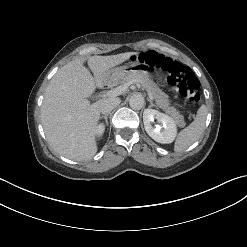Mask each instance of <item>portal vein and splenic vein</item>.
<instances>
[{"label":"portal vein and splenic vein","mask_w":247,"mask_h":247,"mask_svg":"<svg viewBox=\"0 0 247 247\" xmlns=\"http://www.w3.org/2000/svg\"><path fill=\"white\" fill-rule=\"evenodd\" d=\"M130 84H132V82H127V83H125V84L122 85V86L116 87V88H114L113 90L108 91V92L105 94V96H106V97H116V96H118V95H121V94H123V93L127 90V88L129 87ZM148 96H149V98H150L151 100L154 99L153 96H152L149 92H148Z\"/></svg>","instance_id":"18ae733b"}]
</instances>
